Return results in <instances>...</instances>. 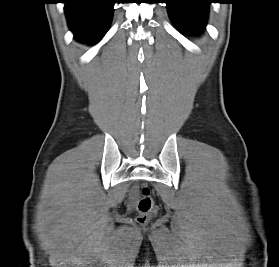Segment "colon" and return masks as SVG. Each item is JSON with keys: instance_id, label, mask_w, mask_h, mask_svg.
Returning a JSON list of instances; mask_svg holds the SVG:
<instances>
[{"instance_id": "obj_1", "label": "colon", "mask_w": 279, "mask_h": 267, "mask_svg": "<svg viewBox=\"0 0 279 267\" xmlns=\"http://www.w3.org/2000/svg\"><path fill=\"white\" fill-rule=\"evenodd\" d=\"M138 222L144 224L148 222L156 212V206L153 198L151 197L148 187L142 188V196L138 202Z\"/></svg>"}]
</instances>
